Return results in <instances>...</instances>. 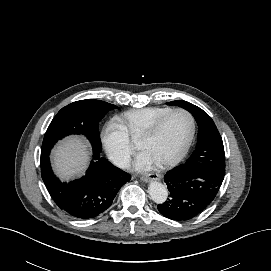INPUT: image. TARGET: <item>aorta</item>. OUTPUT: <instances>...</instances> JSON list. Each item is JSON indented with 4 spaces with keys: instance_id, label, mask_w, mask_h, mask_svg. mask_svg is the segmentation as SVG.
<instances>
[{
    "instance_id": "762f6f07",
    "label": "aorta",
    "mask_w": 271,
    "mask_h": 271,
    "mask_svg": "<svg viewBox=\"0 0 271 271\" xmlns=\"http://www.w3.org/2000/svg\"><path fill=\"white\" fill-rule=\"evenodd\" d=\"M148 193L151 199L157 203L162 204L167 200L168 190L167 188L158 181H151L148 186Z\"/></svg>"
}]
</instances>
